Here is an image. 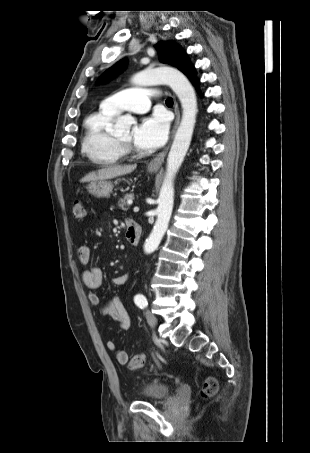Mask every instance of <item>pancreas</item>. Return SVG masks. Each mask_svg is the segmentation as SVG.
I'll use <instances>...</instances> for the list:
<instances>
[{
  "label": "pancreas",
  "mask_w": 310,
  "mask_h": 453,
  "mask_svg": "<svg viewBox=\"0 0 310 453\" xmlns=\"http://www.w3.org/2000/svg\"><path fill=\"white\" fill-rule=\"evenodd\" d=\"M134 199V194L130 193V194H126L124 196V198H121L119 201H118V206L119 208H121L123 211H127L129 209V204H128V200H132Z\"/></svg>",
  "instance_id": "cf45deb5"
}]
</instances>
